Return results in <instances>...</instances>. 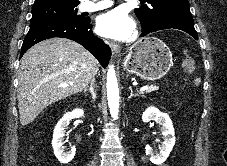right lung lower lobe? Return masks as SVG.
I'll use <instances>...</instances> for the list:
<instances>
[{
	"label": "right lung lower lobe",
	"instance_id": "1",
	"mask_svg": "<svg viewBox=\"0 0 227 166\" xmlns=\"http://www.w3.org/2000/svg\"><path fill=\"white\" fill-rule=\"evenodd\" d=\"M53 37L68 38L78 42L90 51L103 67L109 63L111 50L102 39L93 34L90 19L86 17L82 21L50 20L30 26L22 44L20 58L36 43Z\"/></svg>",
	"mask_w": 227,
	"mask_h": 166
}]
</instances>
